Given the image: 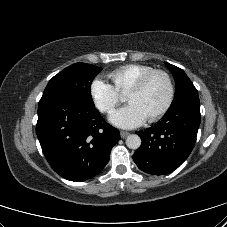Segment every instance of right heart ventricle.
<instances>
[{
  "mask_svg": "<svg viewBox=\"0 0 227 227\" xmlns=\"http://www.w3.org/2000/svg\"><path fill=\"white\" fill-rule=\"evenodd\" d=\"M154 70L153 67L143 64H128L109 73L114 88L120 94H126L130 87L143 75Z\"/></svg>",
  "mask_w": 227,
  "mask_h": 227,
  "instance_id": "obj_1",
  "label": "right heart ventricle"
}]
</instances>
